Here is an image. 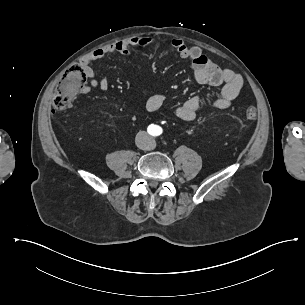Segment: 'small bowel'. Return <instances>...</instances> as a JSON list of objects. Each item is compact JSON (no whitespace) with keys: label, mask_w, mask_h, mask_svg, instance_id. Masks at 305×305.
<instances>
[{"label":"small bowel","mask_w":305,"mask_h":305,"mask_svg":"<svg viewBox=\"0 0 305 305\" xmlns=\"http://www.w3.org/2000/svg\"><path fill=\"white\" fill-rule=\"evenodd\" d=\"M152 41L150 36H136L122 41L115 42L86 54L80 62V68L88 79L89 84L81 88V94H88L91 89L106 91L110 82L107 78H98L91 64L94 61L102 59L110 54L130 55L131 49L146 47ZM172 47L182 58L189 59L192 63L193 78L198 83L209 84L211 86H221L220 95L211 103L214 109L228 108L238 96L242 85L243 78L241 75L227 68H221L210 59H208L198 46H189L181 39L175 38L169 42ZM143 92L146 91L144 87ZM167 101L164 94L150 96L145 108L148 112H154L160 109ZM202 100L198 97H191L184 101L175 110L176 116L185 121L192 122L196 119L199 110L202 108Z\"/></svg>","instance_id":"1"}]
</instances>
